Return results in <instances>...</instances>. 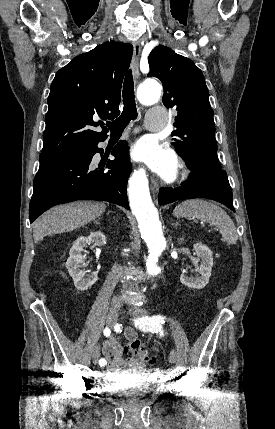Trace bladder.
<instances>
[{
  "label": "bladder",
  "mask_w": 275,
  "mask_h": 429,
  "mask_svg": "<svg viewBox=\"0 0 275 429\" xmlns=\"http://www.w3.org/2000/svg\"><path fill=\"white\" fill-rule=\"evenodd\" d=\"M108 387L109 398H124L126 403H137L139 398L158 393V384H148L146 377H111Z\"/></svg>",
  "instance_id": "1"
}]
</instances>
